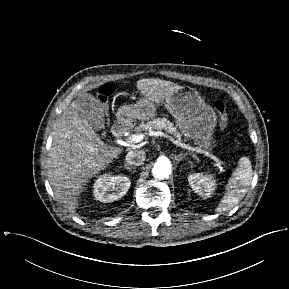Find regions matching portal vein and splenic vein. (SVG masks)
Segmentation results:
<instances>
[{"instance_id": "portal-vein-and-splenic-vein-1", "label": "portal vein and splenic vein", "mask_w": 289, "mask_h": 289, "mask_svg": "<svg viewBox=\"0 0 289 289\" xmlns=\"http://www.w3.org/2000/svg\"><path fill=\"white\" fill-rule=\"evenodd\" d=\"M149 135L151 136H160V137H163V138H166L168 140H170L173 144H175L176 146L178 147H181L183 149H186L188 150L194 157H196V153H200V154H204L205 156L211 158L213 161H215L216 163H218L219 165H222V166H225V162L220 160L218 157H216L215 155L207 152V151H204V150H201V149H196L194 147H191L185 143H181L180 141L178 140H175L173 137L161 132V131H151L149 132ZM143 140V135L142 134H133L131 135L128 139H127V142L129 143H138V142H141Z\"/></svg>"}]
</instances>
